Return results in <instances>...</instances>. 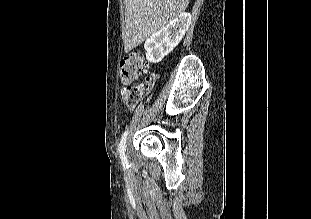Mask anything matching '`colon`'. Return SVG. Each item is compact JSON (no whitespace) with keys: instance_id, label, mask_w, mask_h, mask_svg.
I'll return each mask as SVG.
<instances>
[{"instance_id":"5ec220e1","label":"colon","mask_w":311,"mask_h":219,"mask_svg":"<svg viewBox=\"0 0 311 219\" xmlns=\"http://www.w3.org/2000/svg\"><path fill=\"white\" fill-rule=\"evenodd\" d=\"M145 74H147V65L141 54L133 53L121 60L120 80L124 85L122 97L127 107L133 108L139 103L145 89L153 80V76H149L146 84L132 85L133 81Z\"/></svg>"}]
</instances>
